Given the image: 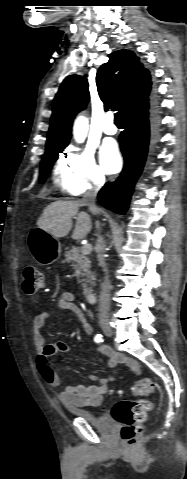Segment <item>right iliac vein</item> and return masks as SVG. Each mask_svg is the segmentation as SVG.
Listing matches in <instances>:
<instances>
[{
	"instance_id": "63e3f726",
	"label": "right iliac vein",
	"mask_w": 187,
	"mask_h": 479,
	"mask_svg": "<svg viewBox=\"0 0 187 479\" xmlns=\"http://www.w3.org/2000/svg\"><path fill=\"white\" fill-rule=\"evenodd\" d=\"M101 329L104 332L105 335L107 336H112L113 335V330L111 326L109 325L108 322H102L101 323Z\"/></svg>"
}]
</instances>
